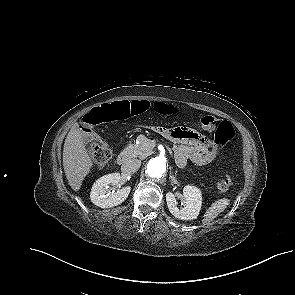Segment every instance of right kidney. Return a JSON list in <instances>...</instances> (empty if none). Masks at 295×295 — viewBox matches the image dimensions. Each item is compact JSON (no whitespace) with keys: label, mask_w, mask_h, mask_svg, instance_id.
Masks as SVG:
<instances>
[{"label":"right kidney","mask_w":295,"mask_h":295,"mask_svg":"<svg viewBox=\"0 0 295 295\" xmlns=\"http://www.w3.org/2000/svg\"><path fill=\"white\" fill-rule=\"evenodd\" d=\"M120 179V173H111L98 179L90 193L93 204L101 208H111L124 202L131 191L130 186L120 188L116 192L107 189L110 184L117 185Z\"/></svg>","instance_id":"ca27d5eb"}]
</instances>
